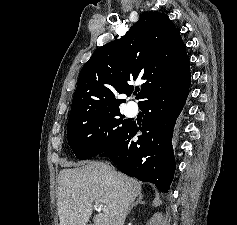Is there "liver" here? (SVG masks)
I'll list each match as a JSON object with an SVG mask.
<instances>
[{
  "instance_id": "6515ba94",
  "label": "liver",
  "mask_w": 237,
  "mask_h": 225,
  "mask_svg": "<svg viewBox=\"0 0 237 225\" xmlns=\"http://www.w3.org/2000/svg\"><path fill=\"white\" fill-rule=\"evenodd\" d=\"M141 190L139 181L101 161L63 169L58 175L60 225H87L95 201L102 205V212L94 216V225H124L128 208Z\"/></svg>"
}]
</instances>
